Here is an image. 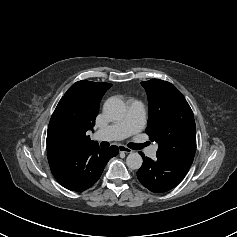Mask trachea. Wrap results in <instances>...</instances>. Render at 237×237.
Listing matches in <instances>:
<instances>
[{
    "label": "trachea",
    "mask_w": 237,
    "mask_h": 237,
    "mask_svg": "<svg viewBox=\"0 0 237 237\" xmlns=\"http://www.w3.org/2000/svg\"><path fill=\"white\" fill-rule=\"evenodd\" d=\"M149 144H150L149 142H146V143H143V144L130 143V144H128V147L131 148V149H134V150H140L143 147L148 146ZM101 146L102 147H107V146H109V144L107 142H102Z\"/></svg>",
    "instance_id": "obj_1"
}]
</instances>
